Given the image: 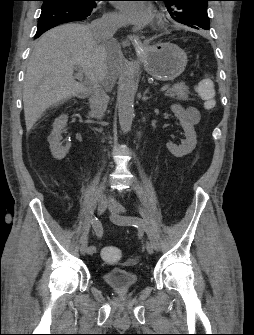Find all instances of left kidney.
I'll list each match as a JSON object with an SVG mask.
<instances>
[{
    "label": "left kidney",
    "instance_id": "left-kidney-1",
    "mask_svg": "<svg viewBox=\"0 0 254 335\" xmlns=\"http://www.w3.org/2000/svg\"><path fill=\"white\" fill-rule=\"evenodd\" d=\"M171 110L177 119H179L186 139L179 146L169 142L166 144V147L175 157H183L195 149L197 144L196 132L194 126L188 121L185 110L181 105L174 104L171 106Z\"/></svg>",
    "mask_w": 254,
    "mask_h": 335
}]
</instances>
